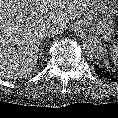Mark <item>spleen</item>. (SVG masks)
I'll return each instance as SVG.
<instances>
[{
	"instance_id": "obj_1",
	"label": "spleen",
	"mask_w": 118,
	"mask_h": 118,
	"mask_svg": "<svg viewBox=\"0 0 118 118\" xmlns=\"http://www.w3.org/2000/svg\"><path fill=\"white\" fill-rule=\"evenodd\" d=\"M110 52L114 64L118 67V44L110 47Z\"/></svg>"
}]
</instances>
